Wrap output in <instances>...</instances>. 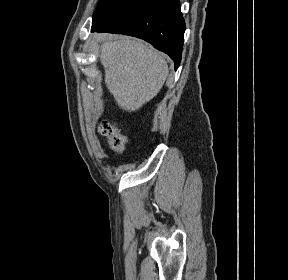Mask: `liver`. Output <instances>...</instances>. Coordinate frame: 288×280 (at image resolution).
I'll use <instances>...</instances> for the list:
<instances>
[{"label": "liver", "mask_w": 288, "mask_h": 280, "mask_svg": "<svg viewBox=\"0 0 288 280\" xmlns=\"http://www.w3.org/2000/svg\"><path fill=\"white\" fill-rule=\"evenodd\" d=\"M100 61L108 90L118 106L129 112L153 99L169 73L165 59L136 39L104 41Z\"/></svg>", "instance_id": "obj_1"}]
</instances>
